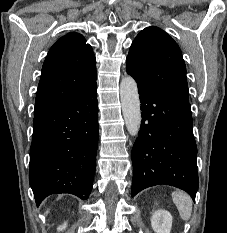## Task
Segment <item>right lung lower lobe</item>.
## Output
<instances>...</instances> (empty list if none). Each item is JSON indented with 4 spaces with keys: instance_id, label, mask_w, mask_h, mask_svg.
Listing matches in <instances>:
<instances>
[{
    "instance_id": "obj_1",
    "label": "right lung lower lobe",
    "mask_w": 227,
    "mask_h": 233,
    "mask_svg": "<svg viewBox=\"0 0 227 233\" xmlns=\"http://www.w3.org/2000/svg\"><path fill=\"white\" fill-rule=\"evenodd\" d=\"M98 144L96 83L34 116L29 182L37 206L49 195H90Z\"/></svg>"
}]
</instances>
